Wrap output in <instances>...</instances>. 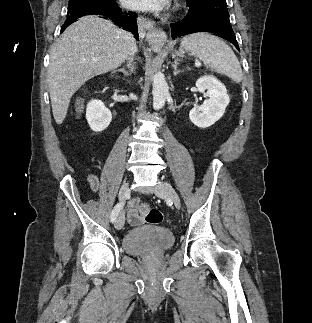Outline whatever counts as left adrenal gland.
Wrapping results in <instances>:
<instances>
[{
  "mask_svg": "<svg viewBox=\"0 0 312 323\" xmlns=\"http://www.w3.org/2000/svg\"><path fill=\"white\" fill-rule=\"evenodd\" d=\"M171 66L174 70V72H173L174 76H177V74H179V72H180V70H178L177 64H171Z\"/></svg>",
  "mask_w": 312,
  "mask_h": 323,
  "instance_id": "obj_1",
  "label": "left adrenal gland"
}]
</instances>
